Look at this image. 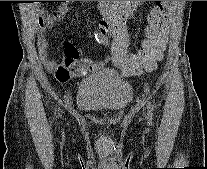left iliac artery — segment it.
Returning a JSON list of instances; mask_svg holds the SVG:
<instances>
[{"mask_svg":"<svg viewBox=\"0 0 207 169\" xmlns=\"http://www.w3.org/2000/svg\"><path fill=\"white\" fill-rule=\"evenodd\" d=\"M151 107H152V104L149 103V108H151ZM149 115L152 116V112L151 111H149Z\"/></svg>","mask_w":207,"mask_h":169,"instance_id":"obj_1","label":"left iliac artery"}]
</instances>
